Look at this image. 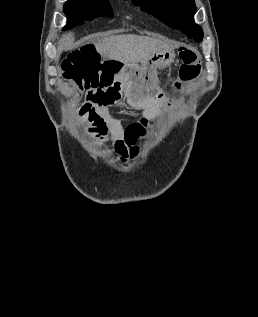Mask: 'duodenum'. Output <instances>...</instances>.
Returning <instances> with one entry per match:
<instances>
[{
  "instance_id": "410a0bca",
  "label": "duodenum",
  "mask_w": 258,
  "mask_h": 317,
  "mask_svg": "<svg viewBox=\"0 0 258 317\" xmlns=\"http://www.w3.org/2000/svg\"><path fill=\"white\" fill-rule=\"evenodd\" d=\"M135 85V69L122 67L109 81L99 87L90 89L87 93V101L98 108L113 105L119 102L123 94Z\"/></svg>"
}]
</instances>
